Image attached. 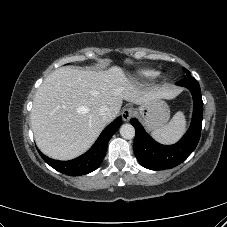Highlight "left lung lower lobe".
I'll return each instance as SVG.
<instances>
[{"mask_svg":"<svg viewBox=\"0 0 227 227\" xmlns=\"http://www.w3.org/2000/svg\"><path fill=\"white\" fill-rule=\"evenodd\" d=\"M177 85L188 88L193 96L194 109L189 130L174 145L157 143L147 134L137 119H131L136 130L134 153L139 163L151 170L173 168L182 163L196 148L201 135L203 101L199 83L191 76L180 80Z\"/></svg>","mask_w":227,"mask_h":227,"instance_id":"left-lung-lower-lobe-1","label":"left lung lower lobe"}]
</instances>
